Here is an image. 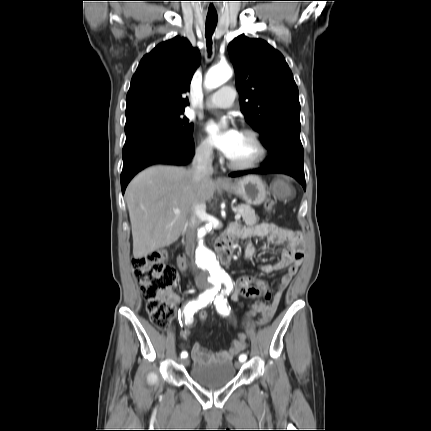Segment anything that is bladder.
<instances>
[{
  "mask_svg": "<svg viewBox=\"0 0 431 431\" xmlns=\"http://www.w3.org/2000/svg\"><path fill=\"white\" fill-rule=\"evenodd\" d=\"M190 378L198 385L208 389L222 388L236 377V368L231 361L216 362L202 366H194L190 370Z\"/></svg>",
  "mask_w": 431,
  "mask_h": 431,
  "instance_id": "bladder-1",
  "label": "bladder"
}]
</instances>
